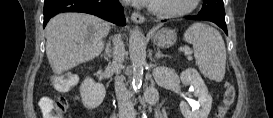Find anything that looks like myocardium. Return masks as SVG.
<instances>
[{"label":"myocardium","instance_id":"f54148a6","mask_svg":"<svg viewBox=\"0 0 273 118\" xmlns=\"http://www.w3.org/2000/svg\"><path fill=\"white\" fill-rule=\"evenodd\" d=\"M199 2L200 0H190L189 5L186 8L181 10L161 11V10H158L153 4L149 5L148 9L153 15L157 17L176 18V17H181L193 12L196 9Z\"/></svg>","mask_w":273,"mask_h":118}]
</instances>
